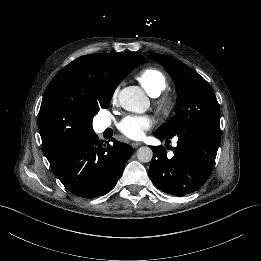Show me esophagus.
Wrapping results in <instances>:
<instances>
[{"label":"esophagus","mask_w":261,"mask_h":261,"mask_svg":"<svg viewBox=\"0 0 261 261\" xmlns=\"http://www.w3.org/2000/svg\"><path fill=\"white\" fill-rule=\"evenodd\" d=\"M141 144H142L141 142H132V143H131V146H132L133 148H137V147H139Z\"/></svg>","instance_id":"1"}]
</instances>
